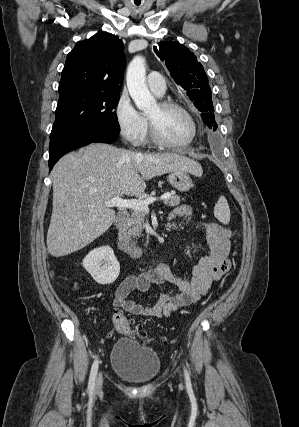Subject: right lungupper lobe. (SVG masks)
<instances>
[{"instance_id": "obj_1", "label": "right lung upper lobe", "mask_w": 299, "mask_h": 427, "mask_svg": "<svg viewBox=\"0 0 299 427\" xmlns=\"http://www.w3.org/2000/svg\"><path fill=\"white\" fill-rule=\"evenodd\" d=\"M125 62L124 45L112 34L79 41L62 70L59 100L85 92L119 93Z\"/></svg>"}]
</instances>
